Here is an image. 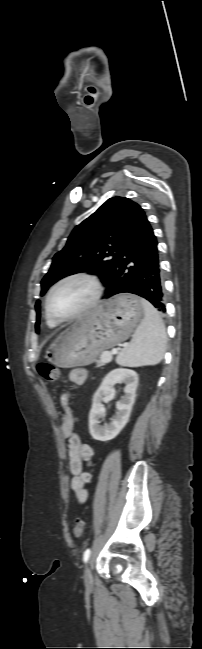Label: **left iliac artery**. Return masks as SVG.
Returning a JSON list of instances; mask_svg holds the SVG:
<instances>
[{
    "mask_svg": "<svg viewBox=\"0 0 202 649\" xmlns=\"http://www.w3.org/2000/svg\"><path fill=\"white\" fill-rule=\"evenodd\" d=\"M90 553H91V551H90L89 548L86 549V550L84 551V554H83V560H84V562H87V561L89 560Z\"/></svg>",
    "mask_w": 202,
    "mask_h": 649,
    "instance_id": "44dca946",
    "label": "left iliac artery"
}]
</instances>
